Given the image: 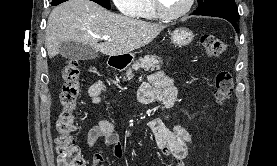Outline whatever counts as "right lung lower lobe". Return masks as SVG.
<instances>
[{"instance_id": "obj_1", "label": "right lung lower lobe", "mask_w": 277, "mask_h": 166, "mask_svg": "<svg viewBox=\"0 0 277 166\" xmlns=\"http://www.w3.org/2000/svg\"><path fill=\"white\" fill-rule=\"evenodd\" d=\"M58 4H60V3H54V4H52L53 6H56V5H58Z\"/></svg>"}]
</instances>
